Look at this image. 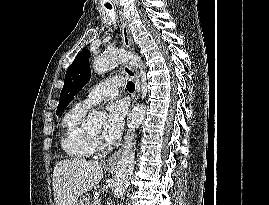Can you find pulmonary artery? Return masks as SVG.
Returning a JSON list of instances; mask_svg holds the SVG:
<instances>
[{
  "mask_svg": "<svg viewBox=\"0 0 269 205\" xmlns=\"http://www.w3.org/2000/svg\"><path fill=\"white\" fill-rule=\"evenodd\" d=\"M124 82L125 79L122 77H113L101 82L88 93L86 98L81 101L79 105L87 109L101 101L116 97L119 87L122 86Z\"/></svg>",
  "mask_w": 269,
  "mask_h": 205,
  "instance_id": "e3ab8cb5",
  "label": "pulmonary artery"
}]
</instances>
